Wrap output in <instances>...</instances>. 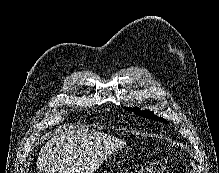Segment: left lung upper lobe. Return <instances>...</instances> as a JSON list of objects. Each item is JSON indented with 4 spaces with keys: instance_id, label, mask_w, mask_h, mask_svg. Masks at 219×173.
I'll return each mask as SVG.
<instances>
[{
    "instance_id": "obj_1",
    "label": "left lung upper lobe",
    "mask_w": 219,
    "mask_h": 173,
    "mask_svg": "<svg viewBox=\"0 0 219 173\" xmlns=\"http://www.w3.org/2000/svg\"><path fill=\"white\" fill-rule=\"evenodd\" d=\"M128 110H131V111H134L136 114L140 115V116H143V117H146V118H152L154 120H159V121H162V122H166L167 121L161 117H157L155 116L153 113L149 112V111H140L139 108H128Z\"/></svg>"
}]
</instances>
